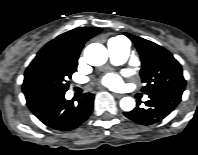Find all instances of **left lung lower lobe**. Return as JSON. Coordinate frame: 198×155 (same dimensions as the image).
<instances>
[{
    "mask_svg": "<svg viewBox=\"0 0 198 155\" xmlns=\"http://www.w3.org/2000/svg\"><path fill=\"white\" fill-rule=\"evenodd\" d=\"M148 96L150 99L145 102V108L137 106L131 112H125V116L138 124L150 125L161 121L171 113L182 97L175 93H157Z\"/></svg>",
    "mask_w": 198,
    "mask_h": 155,
    "instance_id": "obj_1",
    "label": "left lung lower lobe"
}]
</instances>
